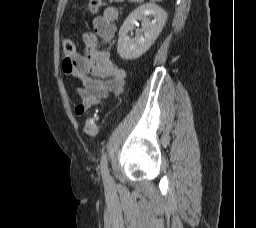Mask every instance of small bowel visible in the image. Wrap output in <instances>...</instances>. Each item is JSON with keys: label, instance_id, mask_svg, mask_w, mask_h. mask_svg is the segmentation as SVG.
Returning <instances> with one entry per match:
<instances>
[{"label": "small bowel", "instance_id": "1", "mask_svg": "<svg viewBox=\"0 0 256 228\" xmlns=\"http://www.w3.org/2000/svg\"><path fill=\"white\" fill-rule=\"evenodd\" d=\"M117 18L116 7L105 8L94 20V33L84 34L83 52H76L72 58L65 56L63 59V71L79 83L77 95L80 103L74 108L77 115L84 114L110 93L119 94L124 88L126 71L117 65L108 51L99 48L97 40V37L103 42L113 39Z\"/></svg>", "mask_w": 256, "mask_h": 228}]
</instances>
